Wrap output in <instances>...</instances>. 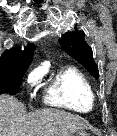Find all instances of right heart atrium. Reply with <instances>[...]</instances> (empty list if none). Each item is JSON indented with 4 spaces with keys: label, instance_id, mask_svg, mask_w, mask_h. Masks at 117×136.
Returning <instances> with one entry per match:
<instances>
[{
    "label": "right heart atrium",
    "instance_id": "d8ad5b80",
    "mask_svg": "<svg viewBox=\"0 0 117 136\" xmlns=\"http://www.w3.org/2000/svg\"><path fill=\"white\" fill-rule=\"evenodd\" d=\"M40 77V73L39 72H35L33 74H31V76L29 77V81L30 82H35L39 79Z\"/></svg>",
    "mask_w": 117,
    "mask_h": 136
}]
</instances>
